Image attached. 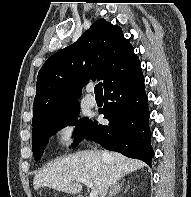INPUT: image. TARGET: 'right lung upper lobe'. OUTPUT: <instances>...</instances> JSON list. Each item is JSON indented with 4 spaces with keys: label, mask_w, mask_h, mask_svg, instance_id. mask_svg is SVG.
<instances>
[{
    "label": "right lung upper lobe",
    "mask_w": 191,
    "mask_h": 197,
    "mask_svg": "<svg viewBox=\"0 0 191 197\" xmlns=\"http://www.w3.org/2000/svg\"><path fill=\"white\" fill-rule=\"evenodd\" d=\"M121 28L105 19L96 21L72 45L44 63L37 76L32 126L78 106V96L89 80H103L105 88L140 66Z\"/></svg>",
    "instance_id": "right-lung-upper-lobe-1"
}]
</instances>
